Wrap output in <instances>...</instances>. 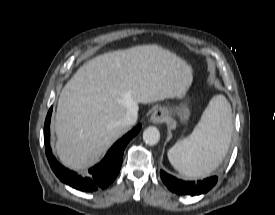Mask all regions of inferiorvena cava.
<instances>
[{
	"label": "inferior vena cava",
	"instance_id": "1",
	"mask_svg": "<svg viewBox=\"0 0 275 215\" xmlns=\"http://www.w3.org/2000/svg\"><path fill=\"white\" fill-rule=\"evenodd\" d=\"M138 108L130 109L126 112L125 116L120 120V123L125 126H130L136 123L138 113Z\"/></svg>",
	"mask_w": 275,
	"mask_h": 215
}]
</instances>
